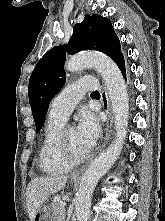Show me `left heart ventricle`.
I'll return each instance as SVG.
<instances>
[{"instance_id": "b2bd125f", "label": "left heart ventricle", "mask_w": 165, "mask_h": 221, "mask_svg": "<svg viewBox=\"0 0 165 221\" xmlns=\"http://www.w3.org/2000/svg\"><path fill=\"white\" fill-rule=\"evenodd\" d=\"M68 143L73 151V153L77 156L84 155L89 149L81 142L78 137L77 129L69 128L66 132Z\"/></svg>"}]
</instances>
